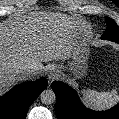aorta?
Wrapping results in <instances>:
<instances>
[{"instance_id": "obj_1", "label": "aorta", "mask_w": 119, "mask_h": 119, "mask_svg": "<svg viewBox=\"0 0 119 119\" xmlns=\"http://www.w3.org/2000/svg\"><path fill=\"white\" fill-rule=\"evenodd\" d=\"M40 101L43 104L50 105L56 101V95L52 89H46L40 94Z\"/></svg>"}]
</instances>
